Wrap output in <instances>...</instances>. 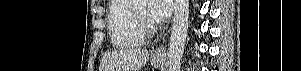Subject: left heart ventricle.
Returning a JSON list of instances; mask_svg holds the SVG:
<instances>
[{
    "label": "left heart ventricle",
    "instance_id": "left-heart-ventricle-1",
    "mask_svg": "<svg viewBox=\"0 0 301 71\" xmlns=\"http://www.w3.org/2000/svg\"><path fill=\"white\" fill-rule=\"evenodd\" d=\"M136 7H137L138 12L141 15H143V16H145L147 18H150L149 17V6H148L147 2H145V1H139V2H137Z\"/></svg>",
    "mask_w": 301,
    "mask_h": 71
}]
</instances>
